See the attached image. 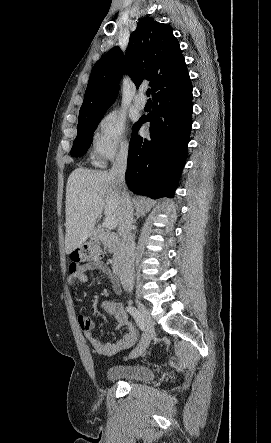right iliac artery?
Wrapping results in <instances>:
<instances>
[{
  "label": "right iliac artery",
  "mask_w": 271,
  "mask_h": 443,
  "mask_svg": "<svg viewBox=\"0 0 271 443\" xmlns=\"http://www.w3.org/2000/svg\"><path fill=\"white\" fill-rule=\"evenodd\" d=\"M126 310H127V312H129L133 316V318H134L137 326L140 328V330L144 331L145 330V323L140 315V312L133 306L126 307Z\"/></svg>",
  "instance_id": "right-iliac-artery-1"
}]
</instances>
